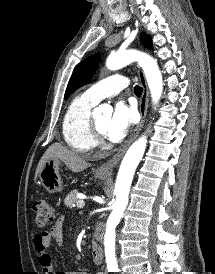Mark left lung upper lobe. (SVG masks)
<instances>
[{"mask_svg":"<svg viewBox=\"0 0 215 274\" xmlns=\"http://www.w3.org/2000/svg\"><path fill=\"white\" fill-rule=\"evenodd\" d=\"M140 40L148 49H152V39L149 35L142 33ZM99 56H91L80 62L76 67L68 86L65 91L64 99H66L72 92L83 86L94 75L98 66Z\"/></svg>","mask_w":215,"mask_h":274,"instance_id":"5c2ea615","label":"left lung upper lobe"}]
</instances>
